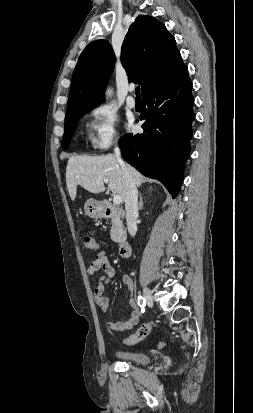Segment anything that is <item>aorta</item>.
Masks as SVG:
<instances>
[{"mask_svg": "<svg viewBox=\"0 0 253 413\" xmlns=\"http://www.w3.org/2000/svg\"><path fill=\"white\" fill-rule=\"evenodd\" d=\"M111 94H112V90L108 89L107 92H106V95L109 97Z\"/></svg>", "mask_w": 253, "mask_h": 413, "instance_id": "1", "label": "aorta"}]
</instances>
